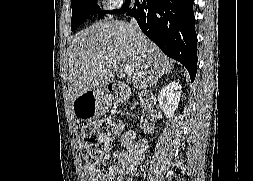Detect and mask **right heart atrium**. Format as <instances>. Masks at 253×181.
Masks as SVG:
<instances>
[{
  "label": "right heart atrium",
  "mask_w": 253,
  "mask_h": 181,
  "mask_svg": "<svg viewBox=\"0 0 253 181\" xmlns=\"http://www.w3.org/2000/svg\"><path fill=\"white\" fill-rule=\"evenodd\" d=\"M106 10L111 13L122 11L128 4V0H102Z\"/></svg>",
  "instance_id": "d8ad5b80"
}]
</instances>
